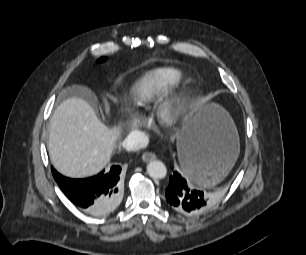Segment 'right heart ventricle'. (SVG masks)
Listing matches in <instances>:
<instances>
[{
    "label": "right heart ventricle",
    "mask_w": 306,
    "mask_h": 255,
    "mask_svg": "<svg viewBox=\"0 0 306 255\" xmlns=\"http://www.w3.org/2000/svg\"><path fill=\"white\" fill-rule=\"evenodd\" d=\"M181 80V72L173 67H159L146 72L130 90L133 106L140 111L148 110Z\"/></svg>",
    "instance_id": "1"
}]
</instances>
